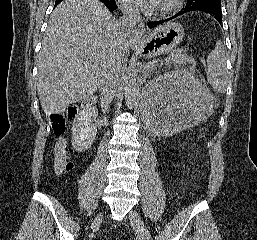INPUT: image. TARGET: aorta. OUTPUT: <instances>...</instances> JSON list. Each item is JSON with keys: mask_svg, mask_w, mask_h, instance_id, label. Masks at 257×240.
Instances as JSON below:
<instances>
[{"mask_svg": "<svg viewBox=\"0 0 257 240\" xmlns=\"http://www.w3.org/2000/svg\"><path fill=\"white\" fill-rule=\"evenodd\" d=\"M123 88L126 104L129 108L136 105L138 99V85L136 81V67L130 64L123 74Z\"/></svg>", "mask_w": 257, "mask_h": 240, "instance_id": "obj_1", "label": "aorta"}]
</instances>
